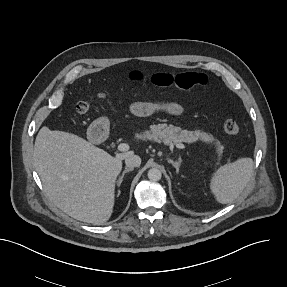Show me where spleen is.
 Returning a JSON list of instances; mask_svg holds the SVG:
<instances>
[{
  "label": "spleen",
  "instance_id": "1",
  "mask_svg": "<svg viewBox=\"0 0 287 287\" xmlns=\"http://www.w3.org/2000/svg\"><path fill=\"white\" fill-rule=\"evenodd\" d=\"M253 172V160L240 158L221 166L210 180V189L221 204L233 202L244 190Z\"/></svg>",
  "mask_w": 287,
  "mask_h": 287
}]
</instances>
